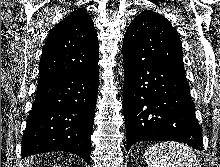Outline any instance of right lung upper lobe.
<instances>
[{
    "label": "right lung upper lobe",
    "instance_id": "cb5924a9",
    "mask_svg": "<svg viewBox=\"0 0 220 167\" xmlns=\"http://www.w3.org/2000/svg\"><path fill=\"white\" fill-rule=\"evenodd\" d=\"M97 32L89 14L77 9L49 33L43 48L39 84L98 65Z\"/></svg>",
    "mask_w": 220,
    "mask_h": 167
}]
</instances>
